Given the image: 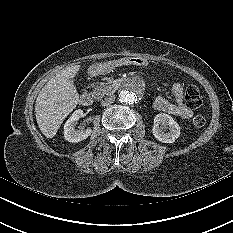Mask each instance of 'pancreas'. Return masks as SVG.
<instances>
[{
	"label": "pancreas",
	"mask_w": 233,
	"mask_h": 233,
	"mask_svg": "<svg viewBox=\"0 0 233 233\" xmlns=\"http://www.w3.org/2000/svg\"><path fill=\"white\" fill-rule=\"evenodd\" d=\"M113 91H114L113 86L108 85V83L105 82H100L95 84V87L91 94L95 99H101L102 97L112 93Z\"/></svg>",
	"instance_id": "1"
}]
</instances>
